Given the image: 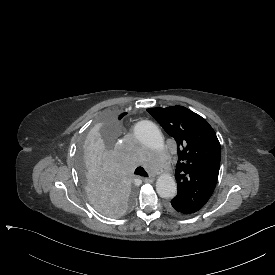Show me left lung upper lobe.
Masks as SVG:
<instances>
[{"label": "left lung upper lobe", "mask_w": 275, "mask_h": 275, "mask_svg": "<svg viewBox=\"0 0 275 275\" xmlns=\"http://www.w3.org/2000/svg\"><path fill=\"white\" fill-rule=\"evenodd\" d=\"M177 142L175 179L178 192L171 201L191 212L209 200L217 183L221 148L208 122L182 106L147 109Z\"/></svg>", "instance_id": "obj_1"}]
</instances>
